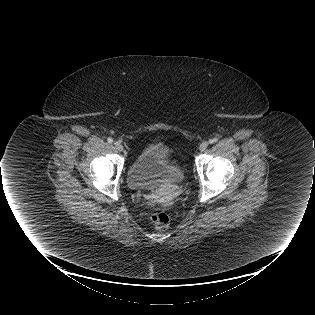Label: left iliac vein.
Segmentation results:
<instances>
[{"mask_svg":"<svg viewBox=\"0 0 315 315\" xmlns=\"http://www.w3.org/2000/svg\"><path fill=\"white\" fill-rule=\"evenodd\" d=\"M208 145H209V143H208L207 141H203V142L200 144V147H199L200 151L206 150L207 147H208Z\"/></svg>","mask_w":315,"mask_h":315,"instance_id":"1","label":"left iliac vein"}]
</instances>
